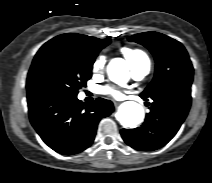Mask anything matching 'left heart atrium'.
<instances>
[{"label": "left heart atrium", "instance_id": "39dd6f15", "mask_svg": "<svg viewBox=\"0 0 212 183\" xmlns=\"http://www.w3.org/2000/svg\"><path fill=\"white\" fill-rule=\"evenodd\" d=\"M101 93L104 95L112 96L114 98H120L123 93L120 89L113 86H104L101 89Z\"/></svg>", "mask_w": 212, "mask_h": 183}]
</instances>
